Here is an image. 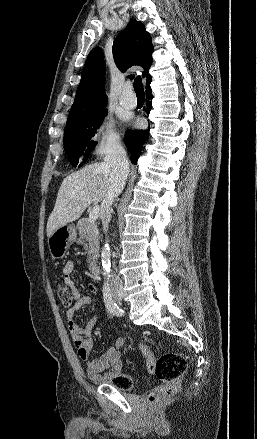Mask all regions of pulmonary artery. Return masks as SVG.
Segmentation results:
<instances>
[{"label": "pulmonary artery", "mask_w": 257, "mask_h": 439, "mask_svg": "<svg viewBox=\"0 0 257 439\" xmlns=\"http://www.w3.org/2000/svg\"><path fill=\"white\" fill-rule=\"evenodd\" d=\"M119 103L128 109H132L136 106L137 99L136 96L131 91L130 85H125L121 91L119 97Z\"/></svg>", "instance_id": "pulmonary-artery-1"}]
</instances>
